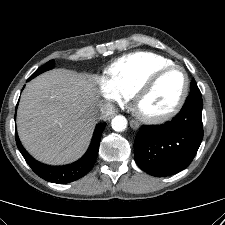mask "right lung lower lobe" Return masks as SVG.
Here are the masks:
<instances>
[{
    "mask_svg": "<svg viewBox=\"0 0 225 225\" xmlns=\"http://www.w3.org/2000/svg\"><path fill=\"white\" fill-rule=\"evenodd\" d=\"M105 127L106 123L97 124L90 147L85 155L77 162L65 166H49L36 161L24 149L17 133L16 144L26 162L38 176L49 182L65 184L83 177L91 170L98 154L101 135Z\"/></svg>",
    "mask_w": 225,
    "mask_h": 225,
    "instance_id": "obj_1",
    "label": "right lung lower lobe"
}]
</instances>
